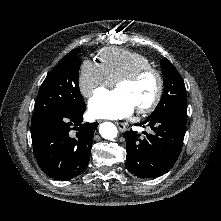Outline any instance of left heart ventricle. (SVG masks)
Here are the masks:
<instances>
[{
	"label": "left heart ventricle",
	"instance_id": "b2bd125f",
	"mask_svg": "<svg viewBox=\"0 0 221 221\" xmlns=\"http://www.w3.org/2000/svg\"><path fill=\"white\" fill-rule=\"evenodd\" d=\"M118 89L123 91L133 102L136 109L148 105L157 91V80L152 74H148L133 83H121Z\"/></svg>",
	"mask_w": 221,
	"mask_h": 221
}]
</instances>
